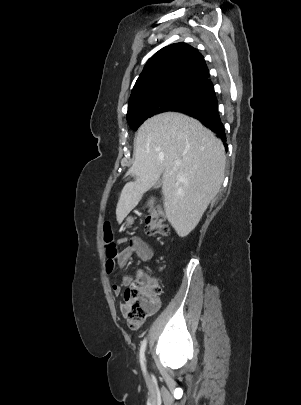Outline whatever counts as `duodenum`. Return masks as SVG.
I'll use <instances>...</instances> for the list:
<instances>
[{"mask_svg":"<svg viewBox=\"0 0 301 405\" xmlns=\"http://www.w3.org/2000/svg\"><path fill=\"white\" fill-rule=\"evenodd\" d=\"M151 199H152V200L150 201V203H149V204H150V206H151V207H153V208H154V207H156V206H157V204H158V203H157V201H156V200H154V198H153V197H152Z\"/></svg>","mask_w":301,"mask_h":405,"instance_id":"duodenum-1","label":"duodenum"}]
</instances>
